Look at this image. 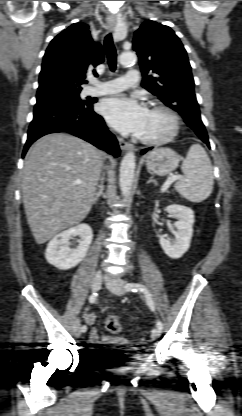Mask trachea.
<instances>
[{
	"label": "trachea",
	"mask_w": 242,
	"mask_h": 416,
	"mask_svg": "<svg viewBox=\"0 0 242 416\" xmlns=\"http://www.w3.org/2000/svg\"><path fill=\"white\" fill-rule=\"evenodd\" d=\"M104 46L106 50L108 65L111 71L116 70L117 53L113 43L112 34H108L104 40Z\"/></svg>",
	"instance_id": "trachea-1"
}]
</instances>
